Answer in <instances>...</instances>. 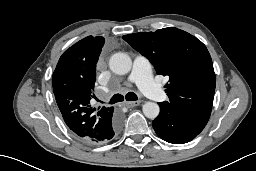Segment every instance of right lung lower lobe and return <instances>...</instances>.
<instances>
[{
	"label": "right lung lower lobe",
	"instance_id": "1",
	"mask_svg": "<svg viewBox=\"0 0 256 171\" xmlns=\"http://www.w3.org/2000/svg\"><path fill=\"white\" fill-rule=\"evenodd\" d=\"M121 126V117L119 114L114 113L111 120L106 125V130L96 139H84L85 142L91 144H102L108 142L115 134L118 133Z\"/></svg>",
	"mask_w": 256,
	"mask_h": 171
}]
</instances>
